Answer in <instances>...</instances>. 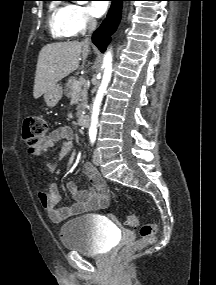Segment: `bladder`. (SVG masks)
<instances>
[{"mask_svg":"<svg viewBox=\"0 0 216 285\" xmlns=\"http://www.w3.org/2000/svg\"><path fill=\"white\" fill-rule=\"evenodd\" d=\"M115 231L94 215H83L64 223L60 240L65 249L80 254L98 256L112 247Z\"/></svg>","mask_w":216,"mask_h":285,"instance_id":"1","label":"bladder"}]
</instances>
